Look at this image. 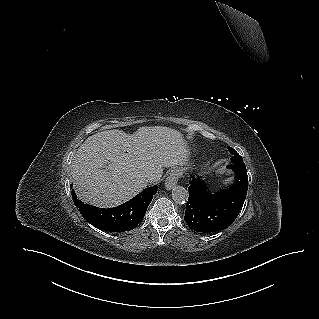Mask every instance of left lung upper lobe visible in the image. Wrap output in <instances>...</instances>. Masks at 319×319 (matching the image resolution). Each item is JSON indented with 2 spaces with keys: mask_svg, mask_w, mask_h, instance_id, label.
<instances>
[{
  "mask_svg": "<svg viewBox=\"0 0 319 319\" xmlns=\"http://www.w3.org/2000/svg\"><path fill=\"white\" fill-rule=\"evenodd\" d=\"M230 153L232 154L231 162L236 165H245L242 157L231 147H227Z\"/></svg>",
  "mask_w": 319,
  "mask_h": 319,
  "instance_id": "obj_1",
  "label": "left lung upper lobe"
}]
</instances>
